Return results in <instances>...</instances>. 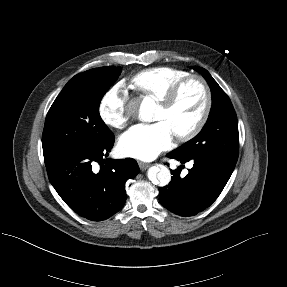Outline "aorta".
<instances>
[{"label":"aorta","mask_w":287,"mask_h":287,"mask_svg":"<svg viewBox=\"0 0 287 287\" xmlns=\"http://www.w3.org/2000/svg\"><path fill=\"white\" fill-rule=\"evenodd\" d=\"M154 107L155 103L151 99L145 98L139 108V117L143 121H150ZM147 176L153 184L159 186H166L171 181L170 170L163 165L150 167Z\"/></svg>","instance_id":"1"}]
</instances>
